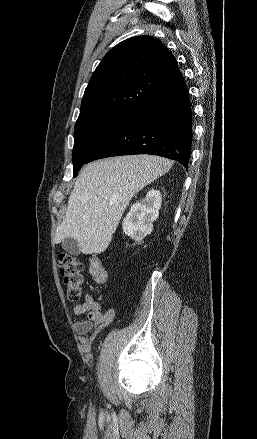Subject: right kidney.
Returning a JSON list of instances; mask_svg holds the SVG:
<instances>
[{
    "instance_id": "obj_1",
    "label": "right kidney",
    "mask_w": 257,
    "mask_h": 439,
    "mask_svg": "<svg viewBox=\"0 0 257 439\" xmlns=\"http://www.w3.org/2000/svg\"><path fill=\"white\" fill-rule=\"evenodd\" d=\"M162 196L151 189L140 202L134 203L123 220V232L139 242L153 230V222L159 216Z\"/></svg>"
}]
</instances>
